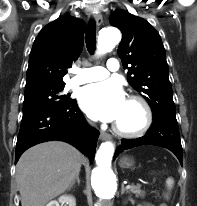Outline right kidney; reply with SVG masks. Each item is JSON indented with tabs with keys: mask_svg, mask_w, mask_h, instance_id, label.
<instances>
[{
	"mask_svg": "<svg viewBox=\"0 0 197 206\" xmlns=\"http://www.w3.org/2000/svg\"><path fill=\"white\" fill-rule=\"evenodd\" d=\"M75 198L71 195H63L58 200L49 202L46 206H60V204H67L69 206H75ZM66 206V205H65Z\"/></svg>",
	"mask_w": 197,
	"mask_h": 206,
	"instance_id": "1",
	"label": "right kidney"
}]
</instances>
